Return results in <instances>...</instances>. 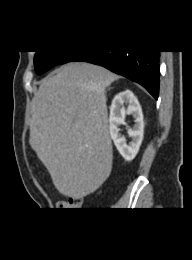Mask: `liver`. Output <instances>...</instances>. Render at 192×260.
I'll use <instances>...</instances> for the list:
<instances>
[{
    "instance_id": "liver-1",
    "label": "liver",
    "mask_w": 192,
    "mask_h": 260,
    "mask_svg": "<svg viewBox=\"0 0 192 260\" xmlns=\"http://www.w3.org/2000/svg\"><path fill=\"white\" fill-rule=\"evenodd\" d=\"M118 78L98 65L68 63L34 96L29 143L64 196H87L111 173L105 89Z\"/></svg>"
}]
</instances>
